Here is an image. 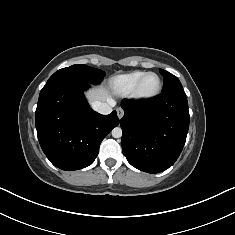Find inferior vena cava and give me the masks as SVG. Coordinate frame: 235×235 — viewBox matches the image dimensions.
<instances>
[{
	"label": "inferior vena cava",
	"instance_id": "inferior-vena-cava-1",
	"mask_svg": "<svg viewBox=\"0 0 235 235\" xmlns=\"http://www.w3.org/2000/svg\"><path fill=\"white\" fill-rule=\"evenodd\" d=\"M115 105V102L113 100H110L109 102H100L95 101L92 103V108L97 111L100 114H110L112 112V107Z\"/></svg>",
	"mask_w": 235,
	"mask_h": 235
}]
</instances>
